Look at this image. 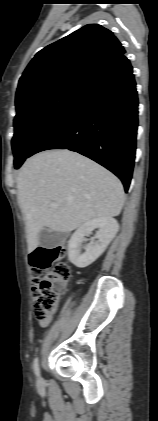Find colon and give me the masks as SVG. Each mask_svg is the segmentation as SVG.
<instances>
[{"label":"colon","mask_w":158,"mask_h":421,"mask_svg":"<svg viewBox=\"0 0 158 421\" xmlns=\"http://www.w3.org/2000/svg\"><path fill=\"white\" fill-rule=\"evenodd\" d=\"M65 247H38L29 256L33 314L38 320L52 317L59 299L70 279V268L57 261L64 255Z\"/></svg>","instance_id":"obj_1"}]
</instances>
